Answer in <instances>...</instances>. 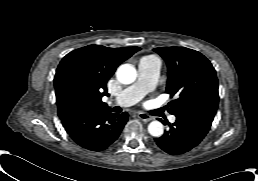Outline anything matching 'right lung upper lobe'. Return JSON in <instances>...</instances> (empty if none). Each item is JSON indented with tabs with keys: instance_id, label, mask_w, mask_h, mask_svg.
<instances>
[{
	"instance_id": "cb5924a9",
	"label": "right lung upper lobe",
	"mask_w": 258,
	"mask_h": 181,
	"mask_svg": "<svg viewBox=\"0 0 258 181\" xmlns=\"http://www.w3.org/2000/svg\"><path fill=\"white\" fill-rule=\"evenodd\" d=\"M139 47L107 48L89 45L67 54L54 77L58 115L69 112L71 98H78L88 108H108L101 101L107 93L106 84L116 68L131 57Z\"/></svg>"
}]
</instances>
